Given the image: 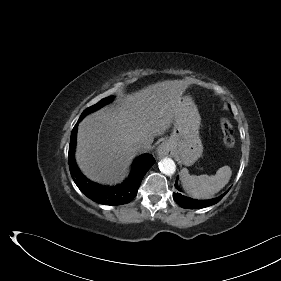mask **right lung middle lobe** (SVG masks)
Segmentation results:
<instances>
[{
    "instance_id": "1",
    "label": "right lung middle lobe",
    "mask_w": 281,
    "mask_h": 281,
    "mask_svg": "<svg viewBox=\"0 0 281 281\" xmlns=\"http://www.w3.org/2000/svg\"><path fill=\"white\" fill-rule=\"evenodd\" d=\"M113 99V97H107L105 99H102L101 101H99L97 104L87 108L86 110H84V112L82 113L81 117H84L85 115H87L90 112H93L97 109H99L100 107H102L103 105L111 102Z\"/></svg>"
}]
</instances>
